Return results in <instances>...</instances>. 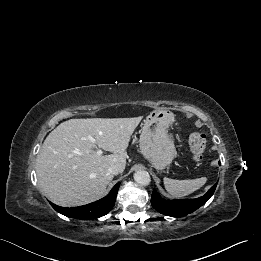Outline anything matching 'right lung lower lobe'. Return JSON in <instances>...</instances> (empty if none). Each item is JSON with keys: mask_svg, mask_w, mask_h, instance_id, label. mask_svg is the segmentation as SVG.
Instances as JSON below:
<instances>
[{"mask_svg": "<svg viewBox=\"0 0 261 261\" xmlns=\"http://www.w3.org/2000/svg\"><path fill=\"white\" fill-rule=\"evenodd\" d=\"M120 183H117L110 193L96 201L79 207H59L51 203L52 207L59 213L77 219L90 220L106 215L114 206Z\"/></svg>", "mask_w": 261, "mask_h": 261, "instance_id": "right-lung-lower-lobe-1", "label": "right lung lower lobe"}]
</instances>
